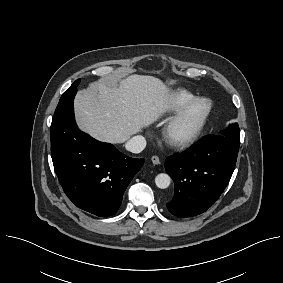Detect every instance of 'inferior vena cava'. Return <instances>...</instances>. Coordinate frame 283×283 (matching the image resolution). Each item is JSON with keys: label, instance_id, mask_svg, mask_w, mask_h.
Returning <instances> with one entry per match:
<instances>
[{"label": "inferior vena cava", "instance_id": "obj_1", "mask_svg": "<svg viewBox=\"0 0 283 283\" xmlns=\"http://www.w3.org/2000/svg\"><path fill=\"white\" fill-rule=\"evenodd\" d=\"M125 147L132 153H140L146 147V140L142 135H137L129 139Z\"/></svg>", "mask_w": 283, "mask_h": 283}]
</instances>
